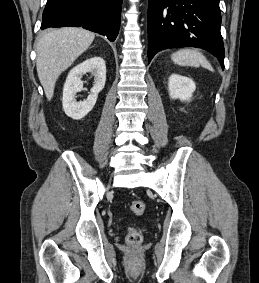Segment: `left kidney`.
<instances>
[{"label": "left kidney", "instance_id": "1", "mask_svg": "<svg viewBox=\"0 0 259 283\" xmlns=\"http://www.w3.org/2000/svg\"><path fill=\"white\" fill-rule=\"evenodd\" d=\"M195 89L194 81L188 77L172 74L168 79V90L172 99L189 101Z\"/></svg>", "mask_w": 259, "mask_h": 283}]
</instances>
